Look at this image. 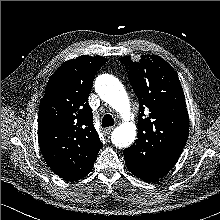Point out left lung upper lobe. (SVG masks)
Masks as SVG:
<instances>
[{"mask_svg": "<svg viewBox=\"0 0 220 220\" xmlns=\"http://www.w3.org/2000/svg\"><path fill=\"white\" fill-rule=\"evenodd\" d=\"M120 62L140 103L138 139L131 146L133 156L144 163L173 168L189 132L185 96L178 76L163 58L154 54L142 55L138 62L125 56Z\"/></svg>", "mask_w": 220, "mask_h": 220, "instance_id": "left-lung-upper-lobe-1", "label": "left lung upper lobe"}]
</instances>
